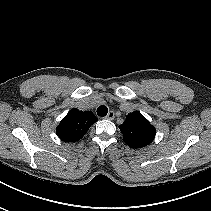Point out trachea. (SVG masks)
<instances>
[{"label":"trachea","instance_id":"trachea-1","mask_svg":"<svg viewBox=\"0 0 211 211\" xmlns=\"http://www.w3.org/2000/svg\"><path fill=\"white\" fill-rule=\"evenodd\" d=\"M107 113H108V108L106 106L101 105V106H99L97 108V114H98V116L104 117V116L107 115Z\"/></svg>","mask_w":211,"mask_h":211}]
</instances>
